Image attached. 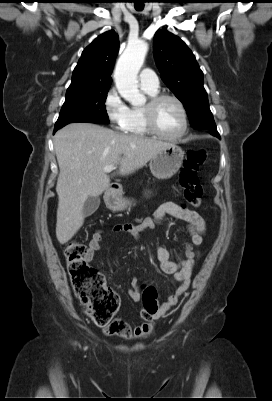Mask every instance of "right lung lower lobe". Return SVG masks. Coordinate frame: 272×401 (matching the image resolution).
<instances>
[{
  "label": "right lung lower lobe",
  "instance_id": "1",
  "mask_svg": "<svg viewBox=\"0 0 272 401\" xmlns=\"http://www.w3.org/2000/svg\"><path fill=\"white\" fill-rule=\"evenodd\" d=\"M57 130L56 129H54V133L56 132Z\"/></svg>",
  "mask_w": 272,
  "mask_h": 401
}]
</instances>
